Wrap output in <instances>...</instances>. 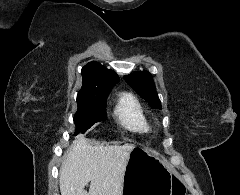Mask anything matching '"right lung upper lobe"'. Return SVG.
<instances>
[{
	"instance_id": "cb5924a9",
	"label": "right lung upper lobe",
	"mask_w": 240,
	"mask_h": 195,
	"mask_svg": "<svg viewBox=\"0 0 240 195\" xmlns=\"http://www.w3.org/2000/svg\"><path fill=\"white\" fill-rule=\"evenodd\" d=\"M81 74L83 82L77 100L106 99L111 88L119 82V77L113 70L95 61L86 64Z\"/></svg>"
}]
</instances>
